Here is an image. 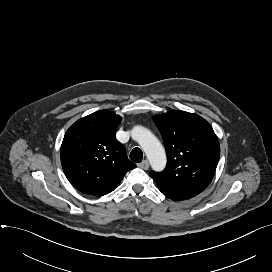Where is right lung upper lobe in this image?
Listing matches in <instances>:
<instances>
[{
  "mask_svg": "<svg viewBox=\"0 0 272 272\" xmlns=\"http://www.w3.org/2000/svg\"><path fill=\"white\" fill-rule=\"evenodd\" d=\"M121 117L100 110L76 121L61 145V163L70 183L82 193L103 196L136 167L115 132Z\"/></svg>",
  "mask_w": 272,
  "mask_h": 272,
  "instance_id": "obj_1",
  "label": "right lung upper lobe"
}]
</instances>
